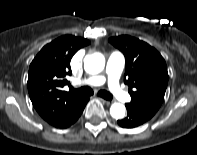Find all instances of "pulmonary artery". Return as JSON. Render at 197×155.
<instances>
[{"label":"pulmonary artery","mask_w":197,"mask_h":155,"mask_svg":"<svg viewBox=\"0 0 197 155\" xmlns=\"http://www.w3.org/2000/svg\"><path fill=\"white\" fill-rule=\"evenodd\" d=\"M124 63V56L120 52L114 51L107 61L105 76H93L78 82V84L100 86L107 82L108 87L114 94V96H116L121 101L128 100V95L122 90L119 85V78L123 70Z\"/></svg>","instance_id":"e3ab8cb5"}]
</instances>
